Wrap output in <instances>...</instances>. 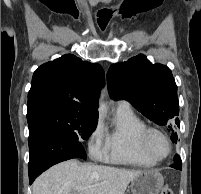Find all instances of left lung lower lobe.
<instances>
[{
	"label": "left lung lower lobe",
	"instance_id": "left-lung-lower-lobe-1",
	"mask_svg": "<svg viewBox=\"0 0 201 194\" xmlns=\"http://www.w3.org/2000/svg\"><path fill=\"white\" fill-rule=\"evenodd\" d=\"M177 140V137L172 138V141L175 142ZM171 167L181 170L182 169V162H181V158L176 155L174 157V163L171 165Z\"/></svg>",
	"mask_w": 201,
	"mask_h": 194
}]
</instances>
